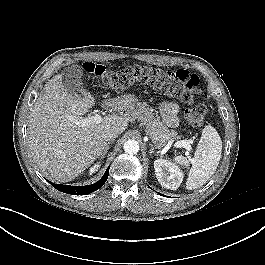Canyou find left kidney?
Returning <instances> with one entry per match:
<instances>
[{
    "mask_svg": "<svg viewBox=\"0 0 265 265\" xmlns=\"http://www.w3.org/2000/svg\"><path fill=\"white\" fill-rule=\"evenodd\" d=\"M156 178L162 187L176 190L183 180V172L169 160L157 159L154 161Z\"/></svg>",
    "mask_w": 265,
    "mask_h": 265,
    "instance_id": "obj_1",
    "label": "left kidney"
}]
</instances>
